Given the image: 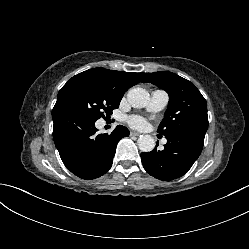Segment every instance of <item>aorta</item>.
Returning <instances> with one entry per match:
<instances>
[{
  "instance_id": "aorta-1",
  "label": "aorta",
  "mask_w": 249,
  "mask_h": 249,
  "mask_svg": "<svg viewBox=\"0 0 249 249\" xmlns=\"http://www.w3.org/2000/svg\"><path fill=\"white\" fill-rule=\"evenodd\" d=\"M127 100L132 107L143 108L148 104L150 95L145 89L132 88L128 91ZM137 143L142 152H150L155 147L154 138L150 135H141Z\"/></svg>"
}]
</instances>
